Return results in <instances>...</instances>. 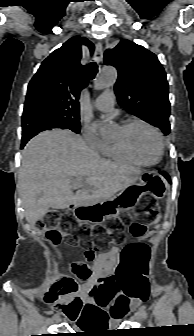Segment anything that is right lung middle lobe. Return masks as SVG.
<instances>
[{
	"instance_id": "obj_1",
	"label": "right lung middle lobe",
	"mask_w": 194,
	"mask_h": 336,
	"mask_svg": "<svg viewBox=\"0 0 194 336\" xmlns=\"http://www.w3.org/2000/svg\"><path fill=\"white\" fill-rule=\"evenodd\" d=\"M70 129L75 133L80 132L79 119H71L61 116H42L34 120L22 123V138L34 132H42L52 129Z\"/></svg>"
}]
</instances>
